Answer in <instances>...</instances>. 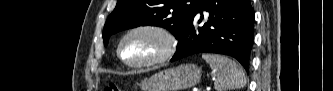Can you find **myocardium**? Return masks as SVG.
I'll return each instance as SVG.
<instances>
[{"label":"myocardium","mask_w":333,"mask_h":91,"mask_svg":"<svg viewBox=\"0 0 333 91\" xmlns=\"http://www.w3.org/2000/svg\"><path fill=\"white\" fill-rule=\"evenodd\" d=\"M138 32L151 33L158 36L162 40L163 50L160 53V55H158L155 58H151L140 62H129L124 58L123 46L125 41L127 40L128 37ZM177 46H178V39L176 35L169 28L158 24H141L130 28L122 36L117 47V55L119 59L128 67L145 68L164 63L169 59H171L177 50Z\"/></svg>","instance_id":"obj_1"}]
</instances>
